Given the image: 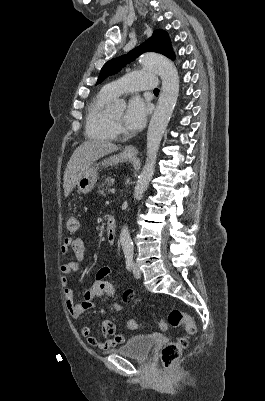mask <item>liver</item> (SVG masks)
Instances as JSON below:
<instances>
[{
  "instance_id": "6515ba94",
  "label": "liver",
  "mask_w": 265,
  "mask_h": 401,
  "mask_svg": "<svg viewBox=\"0 0 265 401\" xmlns=\"http://www.w3.org/2000/svg\"><path fill=\"white\" fill-rule=\"evenodd\" d=\"M119 146L109 142V140H85L74 150L64 174V196H68L71 190L75 188L77 180L81 178L85 170L98 160L101 156L115 152Z\"/></svg>"
}]
</instances>
